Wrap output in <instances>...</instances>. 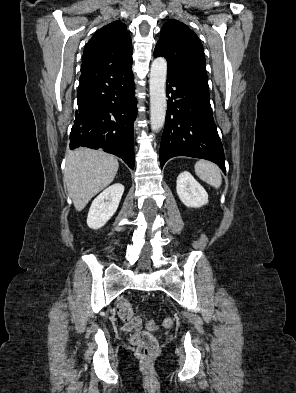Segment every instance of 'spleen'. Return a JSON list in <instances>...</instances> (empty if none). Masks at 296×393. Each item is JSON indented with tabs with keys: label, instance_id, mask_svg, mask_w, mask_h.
I'll return each instance as SVG.
<instances>
[{
	"label": "spleen",
	"instance_id": "spleen-1",
	"mask_svg": "<svg viewBox=\"0 0 296 393\" xmlns=\"http://www.w3.org/2000/svg\"><path fill=\"white\" fill-rule=\"evenodd\" d=\"M196 175L209 185L219 188L222 184L220 169L212 162L199 160L195 164Z\"/></svg>",
	"mask_w": 296,
	"mask_h": 393
}]
</instances>
